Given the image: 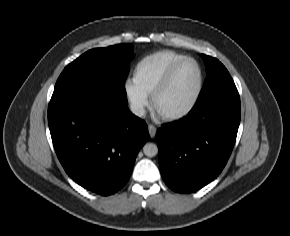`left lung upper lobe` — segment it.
Masks as SVG:
<instances>
[{"label": "left lung upper lobe", "instance_id": "1", "mask_svg": "<svg viewBox=\"0 0 290 236\" xmlns=\"http://www.w3.org/2000/svg\"><path fill=\"white\" fill-rule=\"evenodd\" d=\"M207 69V77L194 107L220 93L236 88L229 72L216 58L201 54Z\"/></svg>", "mask_w": 290, "mask_h": 236}]
</instances>
